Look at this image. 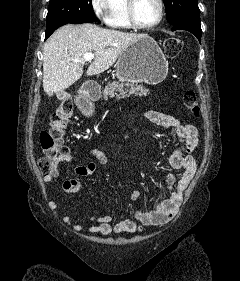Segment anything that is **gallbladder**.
<instances>
[{
	"label": "gallbladder",
	"instance_id": "1",
	"mask_svg": "<svg viewBox=\"0 0 240 281\" xmlns=\"http://www.w3.org/2000/svg\"><path fill=\"white\" fill-rule=\"evenodd\" d=\"M56 95H57L58 99H63L65 94H64L63 91H59V92L56 93Z\"/></svg>",
	"mask_w": 240,
	"mask_h": 281
}]
</instances>
